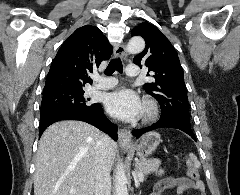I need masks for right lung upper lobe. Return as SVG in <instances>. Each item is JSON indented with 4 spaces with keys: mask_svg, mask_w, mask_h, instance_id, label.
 Returning <instances> with one entry per match:
<instances>
[{
    "mask_svg": "<svg viewBox=\"0 0 240 195\" xmlns=\"http://www.w3.org/2000/svg\"><path fill=\"white\" fill-rule=\"evenodd\" d=\"M111 54L112 45L99 28L91 25L78 28L58 50L43 95L83 88L92 82L87 73L92 72L95 65L108 60Z\"/></svg>",
    "mask_w": 240,
    "mask_h": 195,
    "instance_id": "obj_1",
    "label": "right lung upper lobe"
}]
</instances>
